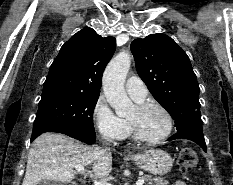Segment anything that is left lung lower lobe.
Here are the masks:
<instances>
[{
	"label": "left lung lower lobe",
	"instance_id": "1",
	"mask_svg": "<svg viewBox=\"0 0 233 185\" xmlns=\"http://www.w3.org/2000/svg\"><path fill=\"white\" fill-rule=\"evenodd\" d=\"M180 138L189 139L191 141H194L206 152V144H205L204 135H203L201 125H194V126L186 128L184 130L178 131L176 134H174L168 140L170 141V140L180 139Z\"/></svg>",
	"mask_w": 233,
	"mask_h": 185
}]
</instances>
